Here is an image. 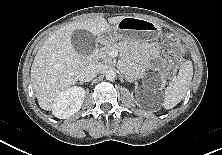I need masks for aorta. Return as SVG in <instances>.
Masks as SVG:
<instances>
[{
    "mask_svg": "<svg viewBox=\"0 0 222 155\" xmlns=\"http://www.w3.org/2000/svg\"><path fill=\"white\" fill-rule=\"evenodd\" d=\"M105 77L109 81L114 80L116 77V72L113 69H109L106 71Z\"/></svg>",
    "mask_w": 222,
    "mask_h": 155,
    "instance_id": "1",
    "label": "aorta"
}]
</instances>
